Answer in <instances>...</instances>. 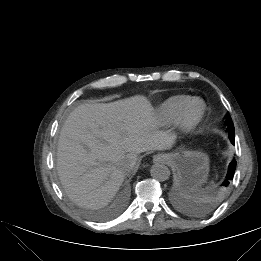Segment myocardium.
<instances>
[{
	"label": "myocardium",
	"instance_id": "myocardium-1",
	"mask_svg": "<svg viewBox=\"0 0 261 261\" xmlns=\"http://www.w3.org/2000/svg\"><path fill=\"white\" fill-rule=\"evenodd\" d=\"M206 104L201 99H193L179 116L178 125L182 132L190 133L204 118Z\"/></svg>",
	"mask_w": 261,
	"mask_h": 261
}]
</instances>
